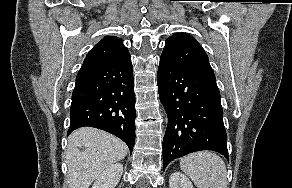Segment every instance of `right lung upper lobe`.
<instances>
[{
	"label": "right lung upper lobe",
	"instance_id": "1",
	"mask_svg": "<svg viewBox=\"0 0 292 188\" xmlns=\"http://www.w3.org/2000/svg\"><path fill=\"white\" fill-rule=\"evenodd\" d=\"M129 56L128 49L121 39L106 36L90 50L84 62L116 61Z\"/></svg>",
	"mask_w": 292,
	"mask_h": 188
}]
</instances>
